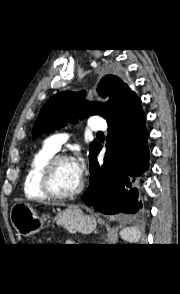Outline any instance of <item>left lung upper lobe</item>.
Segmentation results:
<instances>
[{"label": "left lung upper lobe", "mask_w": 180, "mask_h": 294, "mask_svg": "<svg viewBox=\"0 0 180 294\" xmlns=\"http://www.w3.org/2000/svg\"><path fill=\"white\" fill-rule=\"evenodd\" d=\"M98 92L110 97L105 105L92 103L90 106H80L83 103V93L60 92L49 99L42 107L33 127V139L39 135L65 126L69 121L77 122L88 114H100L107 121L113 118L121 108L136 95L129 86L116 75H106L98 84ZM80 98V100H79ZM100 144L94 141L90 145V159Z\"/></svg>", "instance_id": "5c2ea615"}]
</instances>
